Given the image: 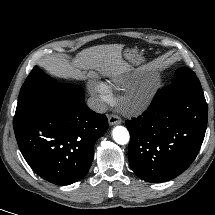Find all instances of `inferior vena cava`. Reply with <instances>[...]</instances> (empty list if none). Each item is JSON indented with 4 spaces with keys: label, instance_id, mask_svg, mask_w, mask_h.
<instances>
[{
    "label": "inferior vena cava",
    "instance_id": "602c4592",
    "mask_svg": "<svg viewBox=\"0 0 215 215\" xmlns=\"http://www.w3.org/2000/svg\"><path fill=\"white\" fill-rule=\"evenodd\" d=\"M87 105L96 112L104 113L107 111V105L91 97L87 100Z\"/></svg>",
    "mask_w": 215,
    "mask_h": 215
}]
</instances>
